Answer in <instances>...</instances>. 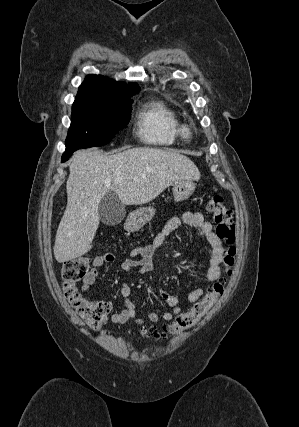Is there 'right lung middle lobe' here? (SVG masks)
<instances>
[{
    "mask_svg": "<svg viewBox=\"0 0 299 427\" xmlns=\"http://www.w3.org/2000/svg\"><path fill=\"white\" fill-rule=\"evenodd\" d=\"M75 101L72 105L71 126L65 141V153L80 148L102 146L116 132L126 127L132 100Z\"/></svg>",
    "mask_w": 299,
    "mask_h": 427,
    "instance_id": "obj_1",
    "label": "right lung middle lobe"
}]
</instances>
